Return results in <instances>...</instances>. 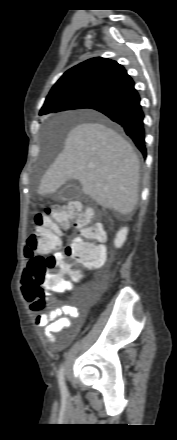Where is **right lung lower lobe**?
I'll return each mask as SVG.
<instances>
[{
  "label": "right lung lower lobe",
  "instance_id": "obj_1",
  "mask_svg": "<svg viewBox=\"0 0 177 440\" xmlns=\"http://www.w3.org/2000/svg\"><path fill=\"white\" fill-rule=\"evenodd\" d=\"M86 108L96 110L121 125L146 157L144 113L134 83L94 100Z\"/></svg>",
  "mask_w": 177,
  "mask_h": 440
}]
</instances>
